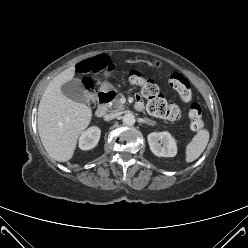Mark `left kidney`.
<instances>
[{"instance_id": "5707ae66", "label": "left kidney", "mask_w": 248, "mask_h": 248, "mask_svg": "<svg viewBox=\"0 0 248 248\" xmlns=\"http://www.w3.org/2000/svg\"><path fill=\"white\" fill-rule=\"evenodd\" d=\"M147 139L154 155L174 157L177 154L176 141L169 132H153L148 135Z\"/></svg>"}]
</instances>
